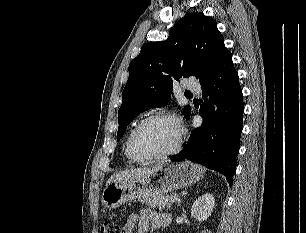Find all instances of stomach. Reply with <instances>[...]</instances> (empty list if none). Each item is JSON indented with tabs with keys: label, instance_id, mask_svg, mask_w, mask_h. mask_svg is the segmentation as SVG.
I'll return each instance as SVG.
<instances>
[{
	"label": "stomach",
	"instance_id": "0dacf381",
	"mask_svg": "<svg viewBox=\"0 0 306 233\" xmlns=\"http://www.w3.org/2000/svg\"><path fill=\"white\" fill-rule=\"evenodd\" d=\"M205 169L189 161L171 164L154 172L108 184L102 193V204L108 208L137 200L165 195L200 181Z\"/></svg>",
	"mask_w": 306,
	"mask_h": 233
}]
</instances>
